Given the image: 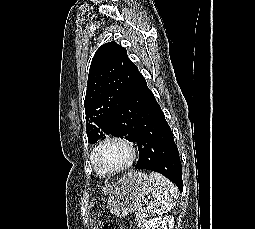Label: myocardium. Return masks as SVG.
Segmentation results:
<instances>
[{
  "label": "myocardium",
  "mask_w": 255,
  "mask_h": 229,
  "mask_svg": "<svg viewBox=\"0 0 255 229\" xmlns=\"http://www.w3.org/2000/svg\"><path fill=\"white\" fill-rule=\"evenodd\" d=\"M109 143H119L123 146H125L129 152V158L128 160L120 167H116V168H111V167H107L105 165L102 164V162L99 159V153L101 151V149ZM136 159V148L134 146V144L127 139L124 136L121 135H110V136H106L105 138H103L102 140H100L97 145L94 147L93 151H92V155H91V161L92 164H94L95 166H99L101 167L106 174H117V173H121L123 171H125L126 169H128L135 161Z\"/></svg>",
  "instance_id": "myocardium-1"
}]
</instances>
